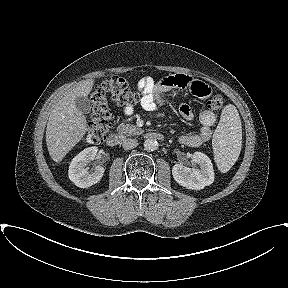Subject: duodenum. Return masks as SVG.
<instances>
[{
  "label": "duodenum",
  "mask_w": 288,
  "mask_h": 288,
  "mask_svg": "<svg viewBox=\"0 0 288 288\" xmlns=\"http://www.w3.org/2000/svg\"><path fill=\"white\" fill-rule=\"evenodd\" d=\"M148 139L163 140V134L159 132H148L146 133ZM122 142V136L116 133H112L107 138V145L110 147H116Z\"/></svg>",
  "instance_id": "duodenum-1"
}]
</instances>
